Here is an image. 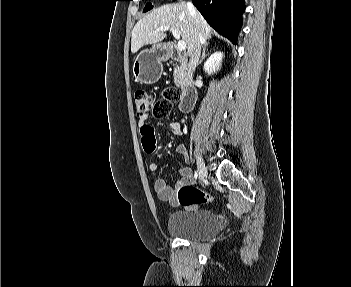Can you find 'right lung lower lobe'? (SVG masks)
<instances>
[{
    "instance_id": "1",
    "label": "right lung lower lobe",
    "mask_w": 351,
    "mask_h": 287,
    "mask_svg": "<svg viewBox=\"0 0 351 287\" xmlns=\"http://www.w3.org/2000/svg\"><path fill=\"white\" fill-rule=\"evenodd\" d=\"M199 12L216 31L236 43L241 27L244 0H192Z\"/></svg>"
}]
</instances>
